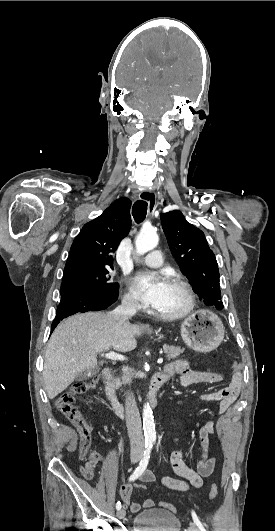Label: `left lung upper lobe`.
I'll return each mask as SVG.
<instances>
[{
	"mask_svg": "<svg viewBox=\"0 0 275 531\" xmlns=\"http://www.w3.org/2000/svg\"><path fill=\"white\" fill-rule=\"evenodd\" d=\"M160 218L170 250L193 291L206 305L221 310L218 264L204 233L187 222L180 211L163 213Z\"/></svg>",
	"mask_w": 275,
	"mask_h": 531,
	"instance_id": "left-lung-upper-lobe-1",
	"label": "left lung upper lobe"
}]
</instances>
